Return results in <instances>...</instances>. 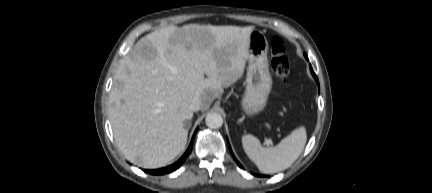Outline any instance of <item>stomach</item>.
<instances>
[{
	"label": "stomach",
	"mask_w": 432,
	"mask_h": 193,
	"mask_svg": "<svg viewBox=\"0 0 432 193\" xmlns=\"http://www.w3.org/2000/svg\"><path fill=\"white\" fill-rule=\"evenodd\" d=\"M267 53L265 34L253 30L249 35L246 89L241 100V109L248 116L258 114L266 107L272 88Z\"/></svg>",
	"instance_id": "obj_1"
}]
</instances>
